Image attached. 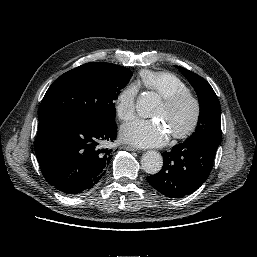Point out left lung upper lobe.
Returning <instances> with one entry per match:
<instances>
[{
  "mask_svg": "<svg viewBox=\"0 0 257 257\" xmlns=\"http://www.w3.org/2000/svg\"><path fill=\"white\" fill-rule=\"evenodd\" d=\"M194 87L200 105L199 121L195 133L188 140L205 139L220 144L221 108L210 84L201 76L185 68L176 66Z\"/></svg>",
  "mask_w": 257,
  "mask_h": 257,
  "instance_id": "obj_1",
  "label": "left lung upper lobe"
}]
</instances>
